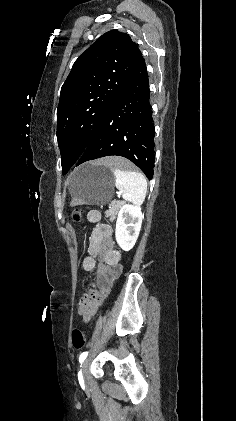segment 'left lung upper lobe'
I'll return each mask as SVG.
<instances>
[{"instance_id": "obj_1", "label": "left lung upper lobe", "mask_w": 236, "mask_h": 421, "mask_svg": "<svg viewBox=\"0 0 236 421\" xmlns=\"http://www.w3.org/2000/svg\"><path fill=\"white\" fill-rule=\"evenodd\" d=\"M139 52L128 34L112 30L74 62L57 109L62 163L73 166L78 161L124 87Z\"/></svg>"}]
</instances>
